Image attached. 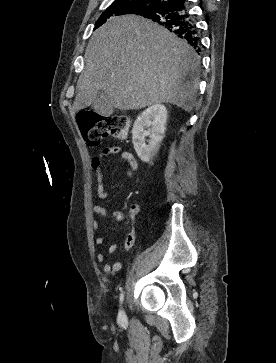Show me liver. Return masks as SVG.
I'll return each mask as SVG.
<instances>
[{
  "instance_id": "obj_1",
  "label": "liver",
  "mask_w": 276,
  "mask_h": 363,
  "mask_svg": "<svg viewBox=\"0 0 276 363\" xmlns=\"http://www.w3.org/2000/svg\"><path fill=\"white\" fill-rule=\"evenodd\" d=\"M194 49L167 29L135 15L109 19L92 35L73 110L104 92L118 110L171 103L190 112L199 84Z\"/></svg>"
}]
</instances>
